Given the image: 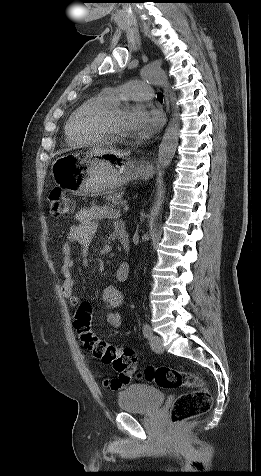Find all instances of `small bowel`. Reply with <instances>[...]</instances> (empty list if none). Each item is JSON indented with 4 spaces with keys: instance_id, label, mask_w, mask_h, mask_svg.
<instances>
[{
    "instance_id": "c3829d8e",
    "label": "small bowel",
    "mask_w": 261,
    "mask_h": 476,
    "mask_svg": "<svg viewBox=\"0 0 261 476\" xmlns=\"http://www.w3.org/2000/svg\"><path fill=\"white\" fill-rule=\"evenodd\" d=\"M105 219H118V212L109 206H92L82 208L75 214V223L70 227L65 242L62 244L63 256L61 273L63 275L62 293L68 298L70 305L78 306L80 299L74 294L75 280L73 276V244L79 245L84 266L88 263V251L98 229V223ZM117 230L122 228L117 223ZM128 277L127 264H121L116 270V279L123 282ZM103 300L107 310V322L113 328H119L123 323V315L119 310L123 304V293L114 285L108 286L103 291Z\"/></svg>"
}]
</instances>
